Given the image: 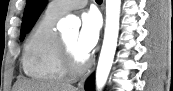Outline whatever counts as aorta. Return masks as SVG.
<instances>
[{"label": "aorta", "instance_id": "762f6f07", "mask_svg": "<svg viewBox=\"0 0 173 91\" xmlns=\"http://www.w3.org/2000/svg\"><path fill=\"white\" fill-rule=\"evenodd\" d=\"M121 0H106V25L103 45L96 70V90L101 91L110 73L119 32ZM65 28L79 27L80 20L75 16H67L62 21Z\"/></svg>", "mask_w": 173, "mask_h": 91}]
</instances>
